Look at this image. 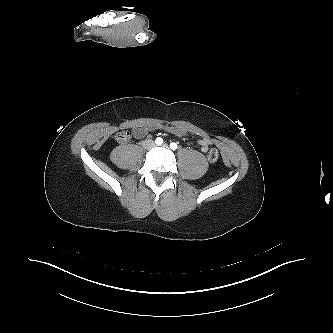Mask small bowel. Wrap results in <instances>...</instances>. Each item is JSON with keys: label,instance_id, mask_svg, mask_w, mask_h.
<instances>
[{"label": "small bowel", "instance_id": "obj_1", "mask_svg": "<svg viewBox=\"0 0 333 333\" xmlns=\"http://www.w3.org/2000/svg\"><path fill=\"white\" fill-rule=\"evenodd\" d=\"M148 131L149 129L145 126H136L133 128L132 133L135 138L141 139L148 133ZM168 131L177 136H183L186 133L182 127L177 126L169 127ZM198 144L200 145L202 152H207L211 145V140L207 137H204L198 140Z\"/></svg>", "mask_w": 333, "mask_h": 333}]
</instances>
